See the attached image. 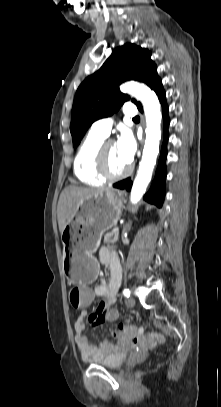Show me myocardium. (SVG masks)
<instances>
[{
    "label": "myocardium",
    "mask_w": 221,
    "mask_h": 407,
    "mask_svg": "<svg viewBox=\"0 0 221 407\" xmlns=\"http://www.w3.org/2000/svg\"><path fill=\"white\" fill-rule=\"evenodd\" d=\"M113 143L115 142L112 139L104 140L96 156V171L98 175L106 181H116L123 179L127 177L133 169L132 164H128L127 168L120 173L114 174L109 171L107 165V149Z\"/></svg>",
    "instance_id": "f54148a6"
}]
</instances>
